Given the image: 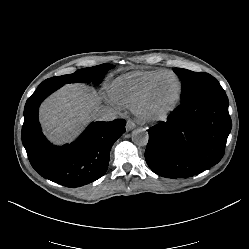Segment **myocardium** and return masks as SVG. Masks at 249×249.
Instances as JSON below:
<instances>
[{"label":"myocardium","instance_id":"f54148a6","mask_svg":"<svg viewBox=\"0 0 249 249\" xmlns=\"http://www.w3.org/2000/svg\"><path fill=\"white\" fill-rule=\"evenodd\" d=\"M168 77H174L178 82V93H177L175 100L169 105L159 110H156V111L148 110L147 105L152 96L154 89L162 80ZM182 96H183L182 80L177 74L173 72H167L156 77L154 80H152L148 84V86L144 89V91L140 94V96L133 103L132 112L134 116L136 117V119H138L140 122L154 123V122L164 121L172 114V112L180 104L182 100Z\"/></svg>","mask_w":249,"mask_h":249}]
</instances>
